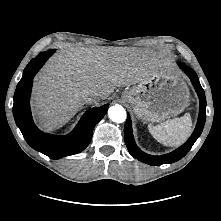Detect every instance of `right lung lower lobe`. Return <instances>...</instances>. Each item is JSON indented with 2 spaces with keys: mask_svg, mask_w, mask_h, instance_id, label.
Returning a JSON list of instances; mask_svg holds the SVG:
<instances>
[{
  "mask_svg": "<svg viewBox=\"0 0 221 221\" xmlns=\"http://www.w3.org/2000/svg\"><path fill=\"white\" fill-rule=\"evenodd\" d=\"M55 52L51 49L38 54L32 59L23 72L14 94L13 114L15 122L26 142L35 150L51 159H59L83 151L90 143L95 125L104 117L109 105L87 111L76 128L67 136L45 134L34 124L30 111V94L35 74Z\"/></svg>",
  "mask_w": 221,
  "mask_h": 221,
  "instance_id": "98d812e1",
  "label": "right lung lower lobe"
}]
</instances>
